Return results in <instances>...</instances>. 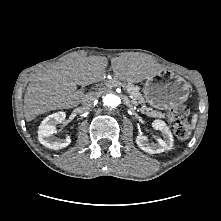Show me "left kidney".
I'll return each instance as SVG.
<instances>
[{"instance_id":"left-kidney-1","label":"left kidney","mask_w":221,"mask_h":221,"mask_svg":"<svg viewBox=\"0 0 221 221\" xmlns=\"http://www.w3.org/2000/svg\"><path fill=\"white\" fill-rule=\"evenodd\" d=\"M152 127L156 130H160L163 134V139L158 138V145L154 143H149L148 138L139 134L136 137L137 145L145 152L150 154L161 153L165 150H171L173 147V135L169 130V127L162 120H155L152 123Z\"/></svg>"}]
</instances>
